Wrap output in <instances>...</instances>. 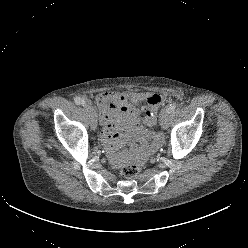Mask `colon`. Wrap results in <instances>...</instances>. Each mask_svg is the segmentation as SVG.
<instances>
[{"instance_id":"1","label":"colon","mask_w":248,"mask_h":248,"mask_svg":"<svg viewBox=\"0 0 248 248\" xmlns=\"http://www.w3.org/2000/svg\"><path fill=\"white\" fill-rule=\"evenodd\" d=\"M167 101L168 97L162 95H152L149 98L143 116V123L146 126L151 127L156 124V110ZM140 172L141 167L135 163L127 164L122 169V174L126 178H135L140 174Z\"/></svg>"}]
</instances>
